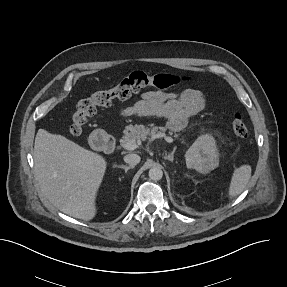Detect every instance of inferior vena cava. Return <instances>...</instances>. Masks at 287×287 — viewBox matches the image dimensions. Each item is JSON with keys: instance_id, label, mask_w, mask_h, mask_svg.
<instances>
[{"instance_id": "602c4592", "label": "inferior vena cava", "mask_w": 287, "mask_h": 287, "mask_svg": "<svg viewBox=\"0 0 287 287\" xmlns=\"http://www.w3.org/2000/svg\"><path fill=\"white\" fill-rule=\"evenodd\" d=\"M140 159V156L137 154H127L124 156V161L133 167L140 162Z\"/></svg>"}]
</instances>
